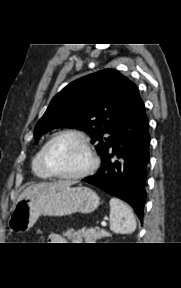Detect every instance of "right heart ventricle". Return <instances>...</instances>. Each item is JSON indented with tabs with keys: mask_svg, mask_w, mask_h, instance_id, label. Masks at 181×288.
I'll use <instances>...</instances> for the list:
<instances>
[{
	"mask_svg": "<svg viewBox=\"0 0 181 288\" xmlns=\"http://www.w3.org/2000/svg\"><path fill=\"white\" fill-rule=\"evenodd\" d=\"M42 149H43V146L37 151V153L35 154L32 160V171L34 175L40 179H50L53 176H51L42 165V161H41Z\"/></svg>",
	"mask_w": 181,
	"mask_h": 288,
	"instance_id": "1",
	"label": "right heart ventricle"
}]
</instances>
